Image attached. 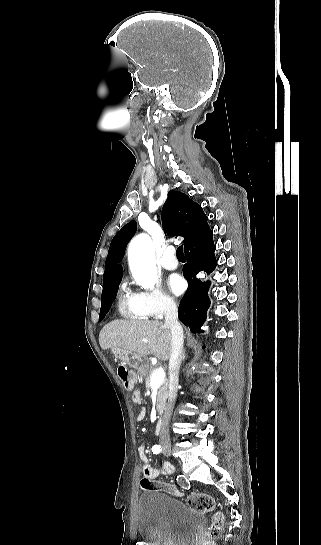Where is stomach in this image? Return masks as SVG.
I'll return each mask as SVG.
<instances>
[{"instance_id":"stomach-1","label":"stomach","mask_w":321,"mask_h":545,"mask_svg":"<svg viewBox=\"0 0 321 545\" xmlns=\"http://www.w3.org/2000/svg\"><path fill=\"white\" fill-rule=\"evenodd\" d=\"M111 353L116 359H119L121 363H127L131 369H135L140 375H144L150 367L147 355H136L133 351L118 349V347H111Z\"/></svg>"}]
</instances>
